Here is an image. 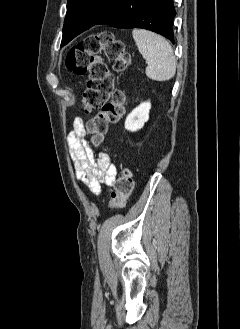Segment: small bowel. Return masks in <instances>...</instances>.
Instances as JSON below:
<instances>
[{
	"instance_id": "small-bowel-1",
	"label": "small bowel",
	"mask_w": 240,
	"mask_h": 329,
	"mask_svg": "<svg viewBox=\"0 0 240 329\" xmlns=\"http://www.w3.org/2000/svg\"><path fill=\"white\" fill-rule=\"evenodd\" d=\"M86 133L83 119L75 117L68 135V143L77 179L93 194L98 195L102 185L111 186L114 183L117 170L107 153L101 152L97 157L94 156L85 139Z\"/></svg>"
}]
</instances>
